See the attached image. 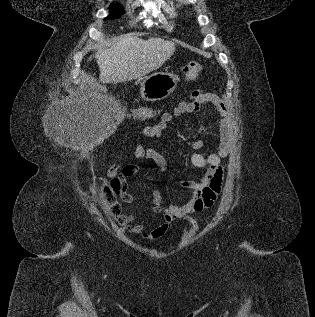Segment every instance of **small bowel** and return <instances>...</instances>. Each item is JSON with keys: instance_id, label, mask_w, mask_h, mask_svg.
<instances>
[{"instance_id": "obj_1", "label": "small bowel", "mask_w": 315, "mask_h": 317, "mask_svg": "<svg viewBox=\"0 0 315 317\" xmlns=\"http://www.w3.org/2000/svg\"><path fill=\"white\" fill-rule=\"evenodd\" d=\"M203 104L213 106L222 117L219 122V143L215 153L204 155L195 152L190 156V162L194 167L205 168V172L199 181H179L182 188L191 191L190 198L182 205L165 204L159 188L156 185L153 186L150 202L152 211L156 214H161L159 221L157 223H144L136 215H124L119 219V222L127 231L138 234L146 240H158L166 234L174 220L213 205L222 186L223 169L221 162L229 155L232 145V124L229 112L217 97L204 91H195L192 93L190 100L183 101L173 111L162 114L161 119L157 123L142 128L139 131V135L158 139L174 118L186 113L197 112ZM204 146L205 144L202 141H194L192 143L194 149H201ZM133 154L136 158L152 162L161 171H164L167 167L165 157L146 145L137 144ZM140 171L141 167L138 165L121 166L119 162H115L107 171V176L118 182L119 193L126 202H133L136 199L134 194L128 192L127 179Z\"/></svg>"}]
</instances>
